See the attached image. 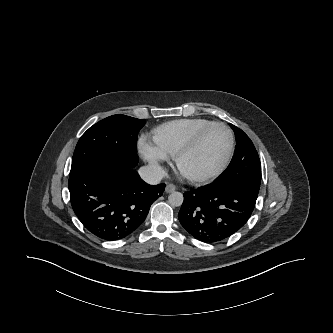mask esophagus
Here are the masks:
<instances>
[{
    "label": "esophagus",
    "instance_id": "1",
    "mask_svg": "<svg viewBox=\"0 0 333 333\" xmlns=\"http://www.w3.org/2000/svg\"><path fill=\"white\" fill-rule=\"evenodd\" d=\"M176 190V186L173 184H167L165 188L166 193H171Z\"/></svg>",
    "mask_w": 333,
    "mask_h": 333
}]
</instances>
